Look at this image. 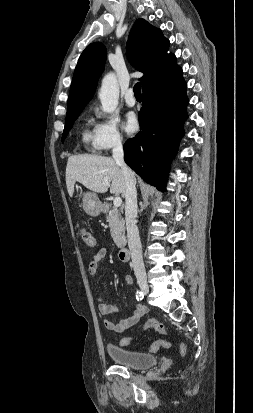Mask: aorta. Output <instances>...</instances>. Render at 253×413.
<instances>
[{
  "instance_id": "762f6f07",
  "label": "aorta",
  "mask_w": 253,
  "mask_h": 413,
  "mask_svg": "<svg viewBox=\"0 0 253 413\" xmlns=\"http://www.w3.org/2000/svg\"><path fill=\"white\" fill-rule=\"evenodd\" d=\"M99 98L104 112H113L119 101V86L114 73H108L102 80Z\"/></svg>"
}]
</instances>
